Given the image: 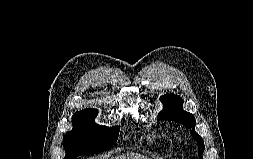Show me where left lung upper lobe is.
Wrapping results in <instances>:
<instances>
[{
    "instance_id": "left-lung-upper-lobe-1",
    "label": "left lung upper lobe",
    "mask_w": 253,
    "mask_h": 159,
    "mask_svg": "<svg viewBox=\"0 0 253 159\" xmlns=\"http://www.w3.org/2000/svg\"><path fill=\"white\" fill-rule=\"evenodd\" d=\"M164 109L158 114V119L177 121L191 130V135L198 143V154L200 159L205 149L201 136L195 132V118L192 114L183 110V99L174 94H167L161 97Z\"/></svg>"
}]
</instances>
